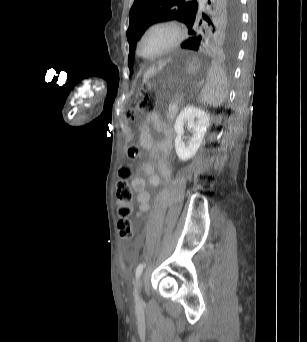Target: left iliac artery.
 I'll use <instances>...</instances> for the list:
<instances>
[{
  "label": "left iliac artery",
  "instance_id": "1",
  "mask_svg": "<svg viewBox=\"0 0 307 342\" xmlns=\"http://www.w3.org/2000/svg\"><path fill=\"white\" fill-rule=\"evenodd\" d=\"M144 267H145L144 263H140L137 266L136 271H135L136 280L139 279L140 275L142 274V271H143Z\"/></svg>",
  "mask_w": 307,
  "mask_h": 342
}]
</instances>
